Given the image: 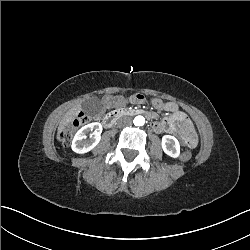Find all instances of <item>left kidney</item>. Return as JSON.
Segmentation results:
<instances>
[{
	"label": "left kidney",
	"instance_id": "obj_1",
	"mask_svg": "<svg viewBox=\"0 0 250 250\" xmlns=\"http://www.w3.org/2000/svg\"><path fill=\"white\" fill-rule=\"evenodd\" d=\"M162 149L163 151L173 157L176 158L180 154V145L178 140L171 135H164L162 138Z\"/></svg>",
	"mask_w": 250,
	"mask_h": 250
}]
</instances>
